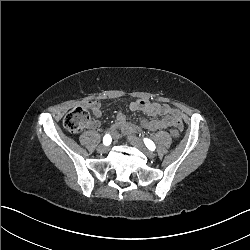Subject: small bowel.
Wrapping results in <instances>:
<instances>
[{"label":"small bowel","instance_id":"obj_1","mask_svg":"<svg viewBox=\"0 0 250 250\" xmlns=\"http://www.w3.org/2000/svg\"><path fill=\"white\" fill-rule=\"evenodd\" d=\"M85 107L90 109L93 115L99 117L102 113V106L97 101H88ZM133 112L142 111L152 116H160V119L142 120L141 126L149 131H157L162 129H170L172 125H179L183 128L181 113L168 104H162L152 101L137 100L131 105ZM100 127L98 120H92L88 124V128L95 130ZM123 130L127 134H137L139 127L133 123L127 122L125 116L118 112L114 123L109 128L108 132L114 137L119 138L118 131Z\"/></svg>","mask_w":250,"mask_h":250}]
</instances>
